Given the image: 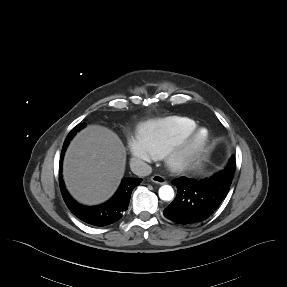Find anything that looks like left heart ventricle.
I'll list each match as a JSON object with an SVG mask.
<instances>
[{
	"instance_id": "left-heart-ventricle-1",
	"label": "left heart ventricle",
	"mask_w": 287,
	"mask_h": 287,
	"mask_svg": "<svg viewBox=\"0 0 287 287\" xmlns=\"http://www.w3.org/2000/svg\"><path fill=\"white\" fill-rule=\"evenodd\" d=\"M204 135H205V134L202 133L201 136H200V138H199V140H202V139L204 138Z\"/></svg>"
}]
</instances>
